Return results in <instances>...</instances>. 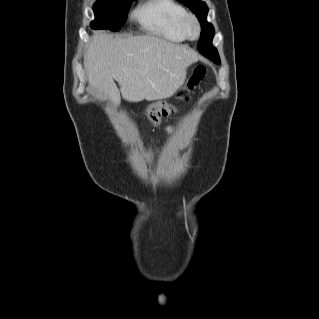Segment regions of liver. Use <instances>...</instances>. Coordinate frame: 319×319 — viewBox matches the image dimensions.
Listing matches in <instances>:
<instances>
[{
	"label": "liver",
	"mask_w": 319,
	"mask_h": 319,
	"mask_svg": "<svg viewBox=\"0 0 319 319\" xmlns=\"http://www.w3.org/2000/svg\"><path fill=\"white\" fill-rule=\"evenodd\" d=\"M197 61L192 49L153 35L123 38L100 31L87 47L84 67L89 86L118 106L121 95L129 102L171 97Z\"/></svg>",
	"instance_id": "1"
}]
</instances>
